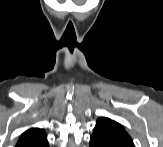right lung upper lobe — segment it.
I'll list each match as a JSON object with an SVG mask.
<instances>
[{"label":"right lung upper lobe","instance_id":"right-lung-upper-lobe-1","mask_svg":"<svg viewBox=\"0 0 163 147\" xmlns=\"http://www.w3.org/2000/svg\"><path fill=\"white\" fill-rule=\"evenodd\" d=\"M46 135L45 131L43 129H39V128H32L29 129L27 131H25L20 138H25V137H29V136H43Z\"/></svg>","mask_w":163,"mask_h":147}]
</instances>
